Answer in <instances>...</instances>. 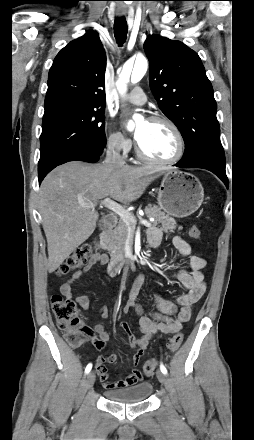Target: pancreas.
Here are the masks:
<instances>
[{
  "label": "pancreas",
  "instance_id": "obj_1",
  "mask_svg": "<svg viewBox=\"0 0 254 440\" xmlns=\"http://www.w3.org/2000/svg\"><path fill=\"white\" fill-rule=\"evenodd\" d=\"M144 212L147 217H153V226H158L165 233H174L177 223L174 218L170 217L156 205H148ZM134 226L127 225L122 219L118 221V225L111 231L105 233L101 238V245L110 252L112 259L122 258L124 254L125 242L129 236V229L133 231ZM179 230L181 227L178 228Z\"/></svg>",
  "mask_w": 254,
  "mask_h": 440
}]
</instances>
